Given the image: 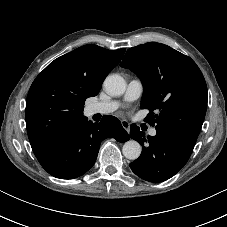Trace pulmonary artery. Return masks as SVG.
<instances>
[{
  "instance_id": "e3ab8cb5",
  "label": "pulmonary artery",
  "mask_w": 227,
  "mask_h": 227,
  "mask_svg": "<svg viewBox=\"0 0 227 227\" xmlns=\"http://www.w3.org/2000/svg\"><path fill=\"white\" fill-rule=\"evenodd\" d=\"M143 93V84L139 79H132L126 88L122 101L107 100L94 103L90 110L93 114H110L116 111L123 102H132L137 100ZM149 134L155 136L157 131L155 128L150 129Z\"/></svg>"
}]
</instances>
